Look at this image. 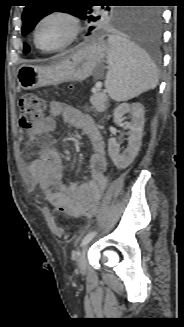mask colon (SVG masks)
Wrapping results in <instances>:
<instances>
[{
  "label": "colon",
  "instance_id": "colon-1",
  "mask_svg": "<svg viewBox=\"0 0 184 327\" xmlns=\"http://www.w3.org/2000/svg\"><path fill=\"white\" fill-rule=\"evenodd\" d=\"M45 110L42 98L33 93L22 96L19 101V125L24 130L34 128L41 120ZM56 212H65L62 206H53ZM97 212V205H90L83 211L85 217H93Z\"/></svg>",
  "mask_w": 184,
  "mask_h": 327
}]
</instances>
